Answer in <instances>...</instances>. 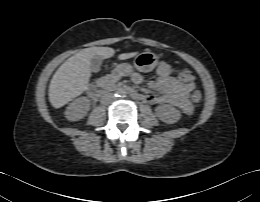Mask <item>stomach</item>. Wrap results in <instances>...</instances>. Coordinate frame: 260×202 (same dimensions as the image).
I'll return each mask as SVG.
<instances>
[{
    "instance_id": "0dacf381",
    "label": "stomach",
    "mask_w": 260,
    "mask_h": 202,
    "mask_svg": "<svg viewBox=\"0 0 260 202\" xmlns=\"http://www.w3.org/2000/svg\"><path fill=\"white\" fill-rule=\"evenodd\" d=\"M134 68L140 72H150L158 64V57L152 52H143L134 59ZM117 72L121 76H128L132 72V66L128 63L119 64Z\"/></svg>"
}]
</instances>
